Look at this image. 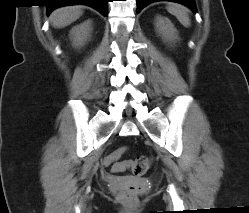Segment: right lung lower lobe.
I'll use <instances>...</instances> for the list:
<instances>
[{"label":"right lung lower lobe","instance_id":"1","mask_svg":"<svg viewBox=\"0 0 249 213\" xmlns=\"http://www.w3.org/2000/svg\"><path fill=\"white\" fill-rule=\"evenodd\" d=\"M107 2L108 0H51V2L47 5V11L50 13L53 9L65 5L86 4L97 9L104 16H107Z\"/></svg>","mask_w":249,"mask_h":213}]
</instances>
